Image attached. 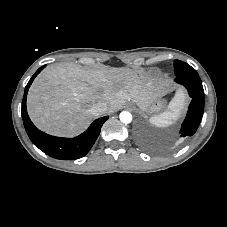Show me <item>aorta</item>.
<instances>
[{"label":"aorta","instance_id":"1","mask_svg":"<svg viewBox=\"0 0 227 227\" xmlns=\"http://www.w3.org/2000/svg\"><path fill=\"white\" fill-rule=\"evenodd\" d=\"M119 118L122 123L128 124L132 121V114L128 111H123L120 113Z\"/></svg>","mask_w":227,"mask_h":227}]
</instances>
